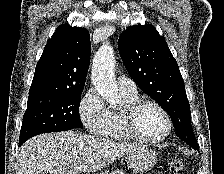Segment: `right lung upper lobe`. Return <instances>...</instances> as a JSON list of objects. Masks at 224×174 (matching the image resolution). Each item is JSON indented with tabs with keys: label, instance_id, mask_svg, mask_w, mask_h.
<instances>
[{
	"label": "right lung upper lobe",
	"instance_id": "cb5924a9",
	"mask_svg": "<svg viewBox=\"0 0 224 174\" xmlns=\"http://www.w3.org/2000/svg\"><path fill=\"white\" fill-rule=\"evenodd\" d=\"M90 54L86 29L60 25L37 63L29 96L83 91Z\"/></svg>",
	"mask_w": 224,
	"mask_h": 174
}]
</instances>
